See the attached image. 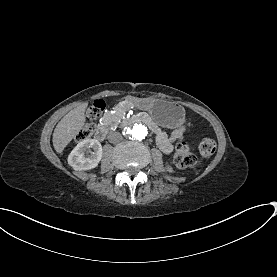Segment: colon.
I'll return each mask as SVG.
<instances>
[{
  "label": "colon",
  "mask_w": 277,
  "mask_h": 277,
  "mask_svg": "<svg viewBox=\"0 0 277 277\" xmlns=\"http://www.w3.org/2000/svg\"><path fill=\"white\" fill-rule=\"evenodd\" d=\"M106 107L104 100L98 99L93 104H90L88 107L86 114L89 119L87 127L83 128L78 136L81 139H86L89 137L90 133H93L97 129V123L94 120L99 119ZM199 150L202 156L210 157L213 155L215 151V144L211 140H206L201 142L199 145ZM175 163L181 169L193 168L198 164L196 156L192 152V148L186 142L178 143L176 146V154H175Z\"/></svg>",
  "instance_id": "obj_1"
}]
</instances>
